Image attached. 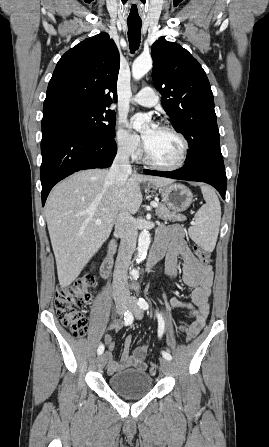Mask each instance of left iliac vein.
Instances as JSON below:
<instances>
[{"instance_id": "obj_1", "label": "left iliac vein", "mask_w": 269, "mask_h": 447, "mask_svg": "<svg viewBox=\"0 0 269 447\" xmlns=\"http://www.w3.org/2000/svg\"><path fill=\"white\" fill-rule=\"evenodd\" d=\"M128 308L133 312L135 317L140 320L143 317L142 308L137 304V300L134 297H130L128 301ZM160 368L164 374L168 373L171 368V363L165 358L160 359Z\"/></svg>"}]
</instances>
